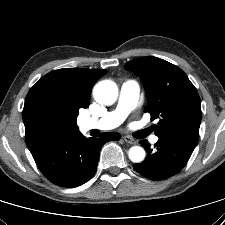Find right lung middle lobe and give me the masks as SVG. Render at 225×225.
I'll use <instances>...</instances> for the list:
<instances>
[{
  "instance_id": "1",
  "label": "right lung middle lobe",
  "mask_w": 225,
  "mask_h": 225,
  "mask_svg": "<svg viewBox=\"0 0 225 225\" xmlns=\"http://www.w3.org/2000/svg\"><path fill=\"white\" fill-rule=\"evenodd\" d=\"M79 114V111H76L73 115L72 121L67 122L64 120H60L57 123L56 130L57 132H66V131H75L78 130L76 119Z\"/></svg>"
}]
</instances>
